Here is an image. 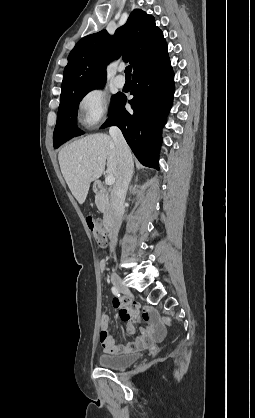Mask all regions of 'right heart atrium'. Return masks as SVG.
Instances as JSON below:
<instances>
[{
  "label": "right heart atrium",
  "mask_w": 255,
  "mask_h": 418,
  "mask_svg": "<svg viewBox=\"0 0 255 418\" xmlns=\"http://www.w3.org/2000/svg\"><path fill=\"white\" fill-rule=\"evenodd\" d=\"M107 110V97L104 91L100 88H92L78 103V120L87 128L94 127L104 119Z\"/></svg>",
  "instance_id": "d8ad5b80"
}]
</instances>
